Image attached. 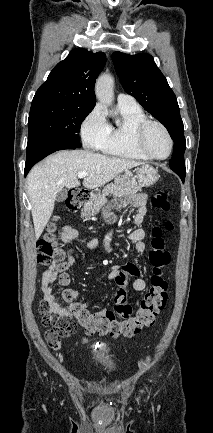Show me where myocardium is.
I'll return each instance as SVG.
<instances>
[{"label":"myocardium","instance_id":"obj_1","mask_svg":"<svg viewBox=\"0 0 213 433\" xmlns=\"http://www.w3.org/2000/svg\"><path fill=\"white\" fill-rule=\"evenodd\" d=\"M153 126L160 128L165 133V135L167 136V138L169 140L170 148H169V152L166 156L160 157V156L155 155L154 153H152L149 150V148L146 145L147 131L149 130V128H151ZM133 138H134V143H135L137 149L141 153H143L145 156H147L148 158H151V159L165 160L172 154L173 149H174V139H173L170 131L168 130V128L163 123H161L157 120L145 119L144 121L140 122L134 129Z\"/></svg>","mask_w":213,"mask_h":433}]
</instances>
